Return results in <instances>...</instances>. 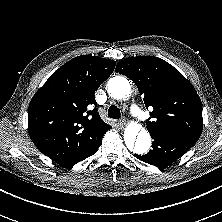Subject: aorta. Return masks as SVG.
<instances>
[{
	"label": "aorta",
	"instance_id": "762f6f07",
	"mask_svg": "<svg viewBox=\"0 0 222 222\" xmlns=\"http://www.w3.org/2000/svg\"><path fill=\"white\" fill-rule=\"evenodd\" d=\"M130 83L122 76H116L108 82V92L111 97L118 100H125L130 94ZM124 141L129 150L142 155L148 152L151 146V138L147 130L140 129L137 125L131 124L124 133Z\"/></svg>",
	"mask_w": 222,
	"mask_h": 222
}]
</instances>
